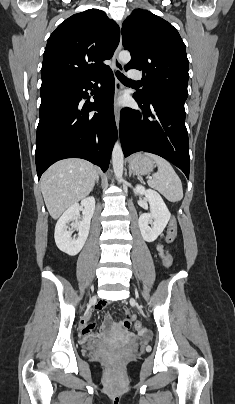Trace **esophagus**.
I'll return each instance as SVG.
<instances>
[{
  "label": "esophagus",
  "mask_w": 235,
  "mask_h": 404,
  "mask_svg": "<svg viewBox=\"0 0 235 404\" xmlns=\"http://www.w3.org/2000/svg\"><path fill=\"white\" fill-rule=\"evenodd\" d=\"M120 28H121V24H120ZM122 48V39L120 36V41L119 44L115 50L114 56H113V69L114 71H123V65L119 60V52ZM122 89V84L119 81V79L116 77L115 78V98H114V115H115V121H116V125L117 127H119V122H120V107L118 105V97L120 95Z\"/></svg>",
  "instance_id": "obj_1"
}]
</instances>
